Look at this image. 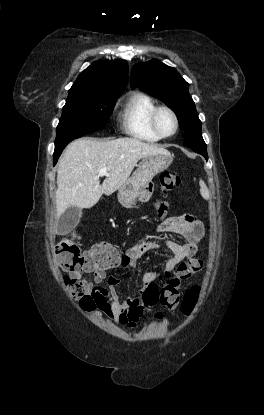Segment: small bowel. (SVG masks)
Listing matches in <instances>:
<instances>
[{
	"mask_svg": "<svg viewBox=\"0 0 264 415\" xmlns=\"http://www.w3.org/2000/svg\"><path fill=\"white\" fill-rule=\"evenodd\" d=\"M160 228L181 235L186 242L178 243L173 240H166L164 246H162L154 241H145L129 247L124 252L119 265L126 269L136 268L138 259L149 252L164 250L171 254V257L161 269L143 274L142 286L138 289L137 295L128 298L126 301H121L116 293L119 280L112 276H106L108 268L85 269L83 274L93 275L92 281L81 278L80 274L86 293L93 298L100 311L118 325H125L129 329L137 327L138 321L146 311L142 304L145 288L149 284L155 283L161 275L173 271L185 259L193 257L204 234L202 223L189 216L172 215L160 225ZM102 283L104 285H100Z\"/></svg>",
	"mask_w": 264,
	"mask_h": 415,
	"instance_id": "c3829d8e",
	"label": "small bowel"
}]
</instances>
